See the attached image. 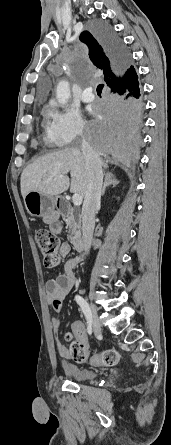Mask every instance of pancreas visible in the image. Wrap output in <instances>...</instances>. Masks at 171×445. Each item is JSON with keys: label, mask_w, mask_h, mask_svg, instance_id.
Wrapping results in <instances>:
<instances>
[{"label": "pancreas", "mask_w": 171, "mask_h": 445, "mask_svg": "<svg viewBox=\"0 0 171 445\" xmlns=\"http://www.w3.org/2000/svg\"><path fill=\"white\" fill-rule=\"evenodd\" d=\"M67 227L69 228L68 240L74 243L80 238L81 233V220L73 208H68L66 214L63 215Z\"/></svg>", "instance_id": "cf45deb5"}]
</instances>
